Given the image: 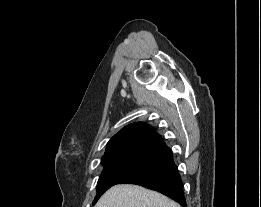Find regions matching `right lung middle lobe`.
Listing matches in <instances>:
<instances>
[{"label":"right lung middle lobe","mask_w":261,"mask_h":207,"mask_svg":"<svg viewBox=\"0 0 261 207\" xmlns=\"http://www.w3.org/2000/svg\"><path fill=\"white\" fill-rule=\"evenodd\" d=\"M158 164L157 161L145 159H126L103 164L104 169L97 183V195L93 204H95L101 195L110 187L124 183L130 178L137 176Z\"/></svg>","instance_id":"dd1d6c3e"}]
</instances>
